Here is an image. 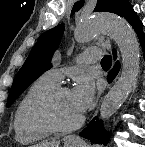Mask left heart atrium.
I'll list each match as a JSON object with an SVG mask.
<instances>
[{"label": "left heart atrium", "instance_id": "obj_1", "mask_svg": "<svg viewBox=\"0 0 145 147\" xmlns=\"http://www.w3.org/2000/svg\"><path fill=\"white\" fill-rule=\"evenodd\" d=\"M73 104L79 114L84 113L93 101L95 86L93 81L85 75L76 79L75 86L70 91Z\"/></svg>", "mask_w": 145, "mask_h": 147}]
</instances>
